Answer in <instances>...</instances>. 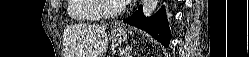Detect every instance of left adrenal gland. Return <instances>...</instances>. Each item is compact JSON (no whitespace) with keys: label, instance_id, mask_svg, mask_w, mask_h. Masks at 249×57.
Here are the masks:
<instances>
[{"label":"left adrenal gland","instance_id":"obj_1","mask_svg":"<svg viewBox=\"0 0 249 57\" xmlns=\"http://www.w3.org/2000/svg\"><path fill=\"white\" fill-rule=\"evenodd\" d=\"M131 52H132V46L127 45V47H126V49H125V51H124L125 57H131V56H130V55H131Z\"/></svg>","mask_w":249,"mask_h":57}]
</instances>
